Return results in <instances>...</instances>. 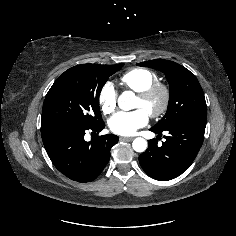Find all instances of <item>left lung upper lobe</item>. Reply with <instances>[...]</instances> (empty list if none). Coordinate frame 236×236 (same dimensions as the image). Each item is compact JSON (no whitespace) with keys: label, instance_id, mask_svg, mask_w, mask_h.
<instances>
[{"label":"left lung upper lobe","instance_id":"5c2ea615","mask_svg":"<svg viewBox=\"0 0 236 236\" xmlns=\"http://www.w3.org/2000/svg\"><path fill=\"white\" fill-rule=\"evenodd\" d=\"M162 71L169 83L170 97L165 116L152 128L162 130L181 119L206 115V101L197 78L185 67L164 59L138 63Z\"/></svg>","mask_w":236,"mask_h":236}]
</instances>
